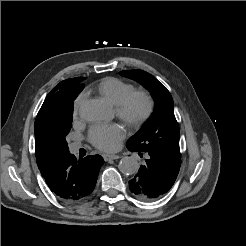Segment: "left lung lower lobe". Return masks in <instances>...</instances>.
<instances>
[{
  "label": "left lung lower lobe",
  "instance_id": "obj_1",
  "mask_svg": "<svg viewBox=\"0 0 246 246\" xmlns=\"http://www.w3.org/2000/svg\"><path fill=\"white\" fill-rule=\"evenodd\" d=\"M138 152L141 157L144 154L146 160L129 181V188L142 200H154L170 190L179 173L181 160L156 150Z\"/></svg>",
  "mask_w": 246,
  "mask_h": 246
}]
</instances>
